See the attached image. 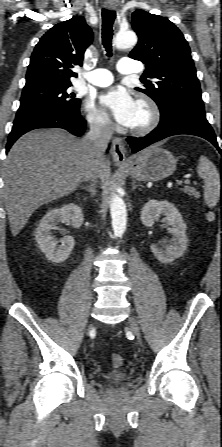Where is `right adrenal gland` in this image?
<instances>
[{
	"mask_svg": "<svg viewBox=\"0 0 222 447\" xmlns=\"http://www.w3.org/2000/svg\"><path fill=\"white\" fill-rule=\"evenodd\" d=\"M81 189L88 191L91 197H94L96 195L95 183L93 181L91 182L90 186H82Z\"/></svg>",
	"mask_w": 222,
	"mask_h": 447,
	"instance_id": "2a0ac1e0",
	"label": "right adrenal gland"
}]
</instances>
